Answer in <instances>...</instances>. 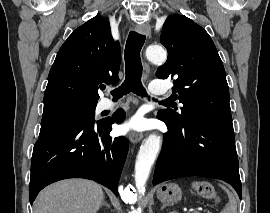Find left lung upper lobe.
<instances>
[{
	"instance_id": "5c2ea615",
	"label": "left lung upper lobe",
	"mask_w": 270,
	"mask_h": 213,
	"mask_svg": "<svg viewBox=\"0 0 270 213\" xmlns=\"http://www.w3.org/2000/svg\"><path fill=\"white\" fill-rule=\"evenodd\" d=\"M160 42L168 59L156 76L175 78L173 94L183 107L179 113L168 109L158 115L180 126L197 117L232 119L224 66L205 29L184 15H170Z\"/></svg>"
}]
</instances>
